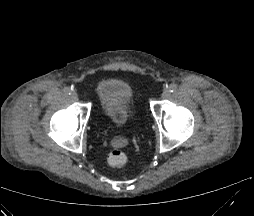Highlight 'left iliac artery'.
I'll list each match as a JSON object with an SVG mask.
<instances>
[{
	"label": "left iliac artery",
	"instance_id": "44dca946",
	"mask_svg": "<svg viewBox=\"0 0 254 216\" xmlns=\"http://www.w3.org/2000/svg\"><path fill=\"white\" fill-rule=\"evenodd\" d=\"M168 90L171 93L175 92L177 90V84H175V83L170 84L168 87Z\"/></svg>",
	"mask_w": 254,
	"mask_h": 216
}]
</instances>
